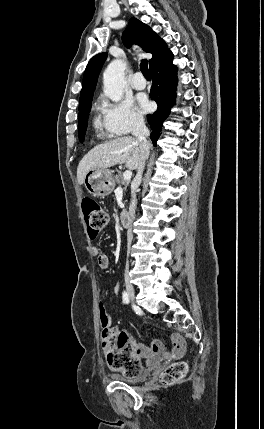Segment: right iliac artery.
I'll list each match as a JSON object with an SVG mask.
<instances>
[{
  "instance_id": "obj_1",
  "label": "right iliac artery",
  "mask_w": 264,
  "mask_h": 429,
  "mask_svg": "<svg viewBox=\"0 0 264 429\" xmlns=\"http://www.w3.org/2000/svg\"><path fill=\"white\" fill-rule=\"evenodd\" d=\"M122 300H123V302L125 303V304H128L129 303V296H128V294H127V292H123V294H122Z\"/></svg>"
}]
</instances>
